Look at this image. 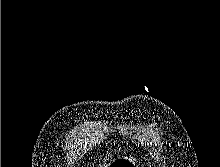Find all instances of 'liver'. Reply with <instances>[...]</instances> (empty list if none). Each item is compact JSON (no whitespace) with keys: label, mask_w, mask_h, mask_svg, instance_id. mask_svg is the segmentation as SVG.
Listing matches in <instances>:
<instances>
[{"label":"liver","mask_w":220,"mask_h":167,"mask_svg":"<svg viewBox=\"0 0 220 167\" xmlns=\"http://www.w3.org/2000/svg\"><path fill=\"white\" fill-rule=\"evenodd\" d=\"M104 167H107V166H105V165H103ZM100 167H102L101 165H100Z\"/></svg>","instance_id":"6515ba94"}]
</instances>
